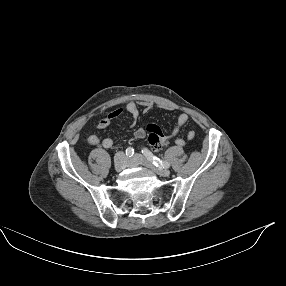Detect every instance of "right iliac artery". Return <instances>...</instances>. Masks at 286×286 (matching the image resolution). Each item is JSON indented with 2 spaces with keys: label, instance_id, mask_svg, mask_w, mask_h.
<instances>
[{
  "label": "right iliac artery",
  "instance_id": "82829eb1",
  "mask_svg": "<svg viewBox=\"0 0 286 286\" xmlns=\"http://www.w3.org/2000/svg\"><path fill=\"white\" fill-rule=\"evenodd\" d=\"M133 154H134V149L133 148L129 147V148L126 149V155L128 157H132Z\"/></svg>",
  "mask_w": 286,
  "mask_h": 286
}]
</instances>
